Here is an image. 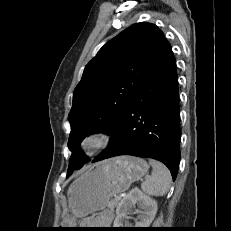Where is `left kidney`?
Instances as JSON below:
<instances>
[{"mask_svg": "<svg viewBox=\"0 0 231 231\" xmlns=\"http://www.w3.org/2000/svg\"><path fill=\"white\" fill-rule=\"evenodd\" d=\"M142 210L136 221L134 228H148L154 220L157 212V202L151 197L145 195L142 191L135 188L131 190L118 204L116 209V218L113 227L121 228L128 212L135 205Z\"/></svg>", "mask_w": 231, "mask_h": 231, "instance_id": "left-kidney-1", "label": "left kidney"}]
</instances>
